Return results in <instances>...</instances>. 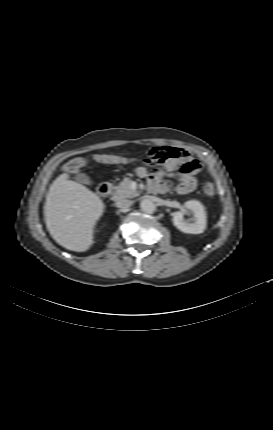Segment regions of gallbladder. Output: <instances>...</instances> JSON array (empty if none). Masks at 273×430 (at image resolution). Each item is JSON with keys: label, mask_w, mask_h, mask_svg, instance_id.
Returning a JSON list of instances; mask_svg holds the SVG:
<instances>
[{"label": "gallbladder", "mask_w": 273, "mask_h": 430, "mask_svg": "<svg viewBox=\"0 0 273 430\" xmlns=\"http://www.w3.org/2000/svg\"><path fill=\"white\" fill-rule=\"evenodd\" d=\"M75 180L79 183L90 185L92 184L91 179L84 173H79L75 176Z\"/></svg>", "instance_id": "obj_1"}]
</instances>
